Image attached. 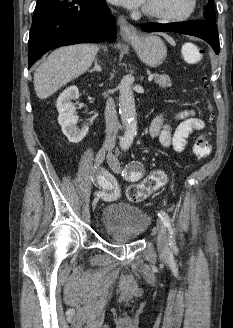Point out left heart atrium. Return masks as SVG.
<instances>
[{"mask_svg":"<svg viewBox=\"0 0 233 328\" xmlns=\"http://www.w3.org/2000/svg\"><path fill=\"white\" fill-rule=\"evenodd\" d=\"M110 1L131 9L142 7L146 2V0H110Z\"/></svg>","mask_w":233,"mask_h":328,"instance_id":"1","label":"left heart atrium"}]
</instances>
